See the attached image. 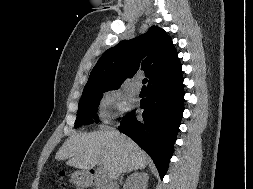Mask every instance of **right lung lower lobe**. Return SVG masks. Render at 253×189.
I'll use <instances>...</instances> for the list:
<instances>
[{
	"mask_svg": "<svg viewBox=\"0 0 253 189\" xmlns=\"http://www.w3.org/2000/svg\"><path fill=\"white\" fill-rule=\"evenodd\" d=\"M140 107L144 109L143 120L138 121L132 111L118 128L149 154L163 178L184 110L182 73L148 86V96Z\"/></svg>",
	"mask_w": 253,
	"mask_h": 189,
	"instance_id": "obj_1",
	"label": "right lung lower lobe"
}]
</instances>
